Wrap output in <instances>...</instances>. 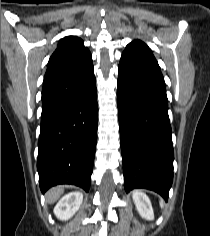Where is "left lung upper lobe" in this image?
I'll use <instances>...</instances> for the list:
<instances>
[{
	"instance_id": "5c2ea615",
	"label": "left lung upper lobe",
	"mask_w": 210,
	"mask_h": 236,
	"mask_svg": "<svg viewBox=\"0 0 210 236\" xmlns=\"http://www.w3.org/2000/svg\"><path fill=\"white\" fill-rule=\"evenodd\" d=\"M121 62L160 70L151 49L139 40H135L127 45L122 54Z\"/></svg>"
}]
</instances>
